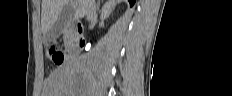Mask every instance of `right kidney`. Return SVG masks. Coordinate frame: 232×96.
<instances>
[{"label":"right kidney","mask_w":232,"mask_h":96,"mask_svg":"<svg viewBox=\"0 0 232 96\" xmlns=\"http://www.w3.org/2000/svg\"><path fill=\"white\" fill-rule=\"evenodd\" d=\"M115 6V0H108L102 8L101 19L104 20L109 17Z\"/></svg>","instance_id":"1"}]
</instances>
